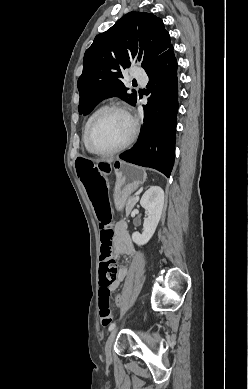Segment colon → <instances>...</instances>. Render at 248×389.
Instances as JSON below:
<instances>
[{
    "label": "colon",
    "instance_id": "colon-1",
    "mask_svg": "<svg viewBox=\"0 0 248 389\" xmlns=\"http://www.w3.org/2000/svg\"><path fill=\"white\" fill-rule=\"evenodd\" d=\"M75 163L101 229L99 316L101 325L105 327L113 320L110 294L117 278V267L111 257L115 227L107 191V180L112 166L110 161L92 162L87 157H76ZM115 300V306L121 307L125 303L124 293L119 291Z\"/></svg>",
    "mask_w": 248,
    "mask_h": 389
}]
</instances>
